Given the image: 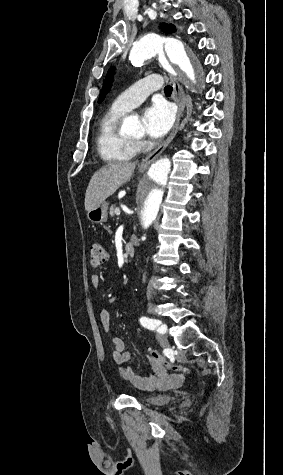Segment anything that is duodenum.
I'll return each mask as SVG.
<instances>
[{
	"label": "duodenum",
	"instance_id": "obj_1",
	"mask_svg": "<svg viewBox=\"0 0 283 475\" xmlns=\"http://www.w3.org/2000/svg\"><path fill=\"white\" fill-rule=\"evenodd\" d=\"M135 252V243L133 241H129L125 245V253L128 257H132Z\"/></svg>",
	"mask_w": 283,
	"mask_h": 475
}]
</instances>
